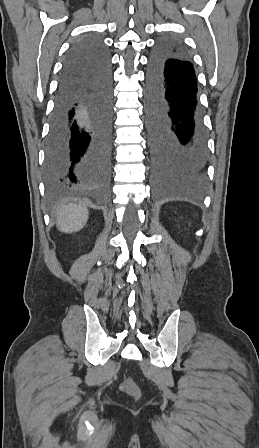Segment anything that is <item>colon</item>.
Wrapping results in <instances>:
<instances>
[{"instance_id":"5ec220e1","label":"colon","mask_w":259,"mask_h":448,"mask_svg":"<svg viewBox=\"0 0 259 448\" xmlns=\"http://www.w3.org/2000/svg\"><path fill=\"white\" fill-rule=\"evenodd\" d=\"M122 389L133 397H138L140 395V390L137 385L130 379H127L122 384Z\"/></svg>"}]
</instances>
